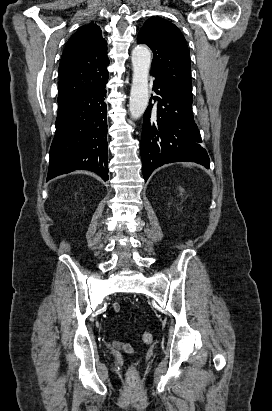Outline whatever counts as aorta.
Segmentation results:
<instances>
[{"label": "aorta", "mask_w": 272, "mask_h": 411, "mask_svg": "<svg viewBox=\"0 0 272 411\" xmlns=\"http://www.w3.org/2000/svg\"><path fill=\"white\" fill-rule=\"evenodd\" d=\"M151 53L147 47L138 45L132 51L133 79L130 92L129 111L133 119L140 118L145 112L148 101V75Z\"/></svg>", "instance_id": "aorta-1"}]
</instances>
